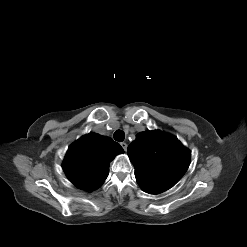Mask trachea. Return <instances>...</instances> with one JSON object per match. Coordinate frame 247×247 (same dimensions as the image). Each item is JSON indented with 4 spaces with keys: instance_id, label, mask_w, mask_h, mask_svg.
<instances>
[{
    "instance_id": "trachea-1",
    "label": "trachea",
    "mask_w": 247,
    "mask_h": 247,
    "mask_svg": "<svg viewBox=\"0 0 247 247\" xmlns=\"http://www.w3.org/2000/svg\"><path fill=\"white\" fill-rule=\"evenodd\" d=\"M113 137L116 141L122 142L125 138V133L122 130H117L115 131Z\"/></svg>"
}]
</instances>
